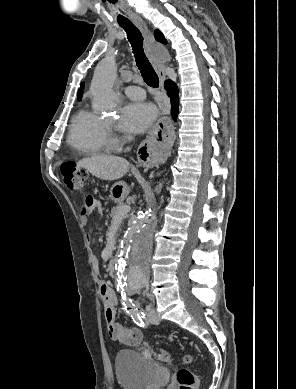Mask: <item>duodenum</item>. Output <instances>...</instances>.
<instances>
[{"mask_svg": "<svg viewBox=\"0 0 296 389\" xmlns=\"http://www.w3.org/2000/svg\"><path fill=\"white\" fill-rule=\"evenodd\" d=\"M115 267H116V260L114 258H111L108 263V269L110 273H115Z\"/></svg>", "mask_w": 296, "mask_h": 389, "instance_id": "1", "label": "duodenum"}]
</instances>
